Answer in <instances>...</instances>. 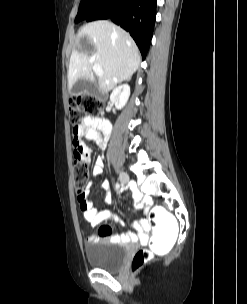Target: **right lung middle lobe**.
I'll return each instance as SVG.
<instances>
[{
	"instance_id": "dd1d6c3e",
	"label": "right lung middle lobe",
	"mask_w": 247,
	"mask_h": 304,
	"mask_svg": "<svg viewBox=\"0 0 247 304\" xmlns=\"http://www.w3.org/2000/svg\"><path fill=\"white\" fill-rule=\"evenodd\" d=\"M103 2L104 0H81L75 23L86 20L99 9Z\"/></svg>"
}]
</instances>
